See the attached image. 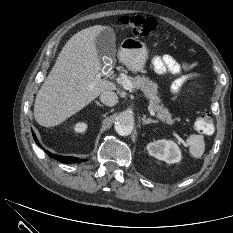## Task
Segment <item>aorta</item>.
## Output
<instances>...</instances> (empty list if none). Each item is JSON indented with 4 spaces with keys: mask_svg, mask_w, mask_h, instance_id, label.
Here are the masks:
<instances>
[{
    "mask_svg": "<svg viewBox=\"0 0 233 233\" xmlns=\"http://www.w3.org/2000/svg\"><path fill=\"white\" fill-rule=\"evenodd\" d=\"M134 117L132 113L124 111L116 117L115 130L121 136L131 134L133 130Z\"/></svg>",
    "mask_w": 233,
    "mask_h": 233,
    "instance_id": "762f6f07",
    "label": "aorta"
}]
</instances>
